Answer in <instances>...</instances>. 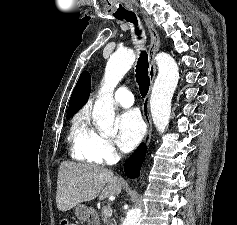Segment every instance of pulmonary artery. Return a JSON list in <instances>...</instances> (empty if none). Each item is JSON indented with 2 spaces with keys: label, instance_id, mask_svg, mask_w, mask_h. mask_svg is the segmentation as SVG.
<instances>
[{
  "label": "pulmonary artery",
  "instance_id": "obj_1",
  "mask_svg": "<svg viewBox=\"0 0 237 225\" xmlns=\"http://www.w3.org/2000/svg\"><path fill=\"white\" fill-rule=\"evenodd\" d=\"M114 101L122 107L128 108L134 104V97L127 88H119L114 93Z\"/></svg>",
  "mask_w": 237,
  "mask_h": 225
}]
</instances>
